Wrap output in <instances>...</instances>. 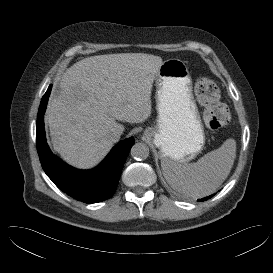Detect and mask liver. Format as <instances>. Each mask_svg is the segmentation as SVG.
I'll return each instance as SVG.
<instances>
[{"mask_svg":"<svg viewBox=\"0 0 273 273\" xmlns=\"http://www.w3.org/2000/svg\"><path fill=\"white\" fill-rule=\"evenodd\" d=\"M162 58L144 53L87 57L62 75L47 110L53 148L70 165L89 169L111 150L112 133L151 115L152 84Z\"/></svg>","mask_w":273,"mask_h":273,"instance_id":"1","label":"liver"}]
</instances>
